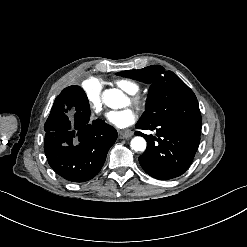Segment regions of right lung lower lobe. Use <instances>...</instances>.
Listing matches in <instances>:
<instances>
[{"instance_id": "1", "label": "right lung lower lobe", "mask_w": 247, "mask_h": 247, "mask_svg": "<svg viewBox=\"0 0 247 247\" xmlns=\"http://www.w3.org/2000/svg\"><path fill=\"white\" fill-rule=\"evenodd\" d=\"M75 109L71 124L66 113ZM90 108L69 87L55 99L45 123L44 151L51 168L72 182H85L101 170L117 131L101 119L89 123Z\"/></svg>"}]
</instances>
